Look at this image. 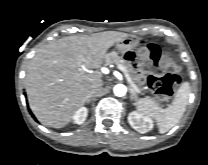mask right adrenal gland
<instances>
[{
  "label": "right adrenal gland",
  "instance_id": "right-adrenal-gland-1",
  "mask_svg": "<svg viewBox=\"0 0 208 165\" xmlns=\"http://www.w3.org/2000/svg\"><path fill=\"white\" fill-rule=\"evenodd\" d=\"M93 95L92 94H89L88 96H87V98H86V101H85V103L86 104H89L90 102H91V100L93 99Z\"/></svg>",
  "mask_w": 208,
  "mask_h": 165
}]
</instances>
